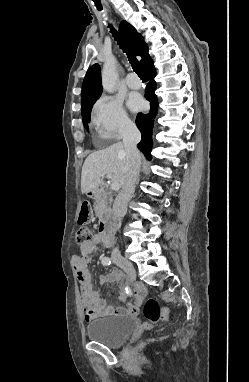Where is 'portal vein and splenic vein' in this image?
Returning a JSON list of instances; mask_svg holds the SVG:
<instances>
[{"label":"portal vein and splenic vein","instance_id":"obj_1","mask_svg":"<svg viewBox=\"0 0 249 382\" xmlns=\"http://www.w3.org/2000/svg\"><path fill=\"white\" fill-rule=\"evenodd\" d=\"M110 188H111L113 191H117V190H119L120 185H119L117 182H112L111 185H110Z\"/></svg>","mask_w":249,"mask_h":382}]
</instances>
